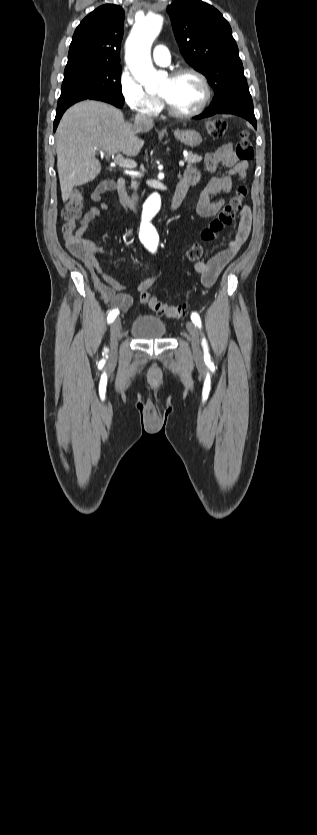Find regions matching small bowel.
I'll use <instances>...</instances> for the list:
<instances>
[{"label":"small bowel","mask_w":317,"mask_h":835,"mask_svg":"<svg viewBox=\"0 0 317 835\" xmlns=\"http://www.w3.org/2000/svg\"><path fill=\"white\" fill-rule=\"evenodd\" d=\"M219 164L226 167L227 172L224 175L212 177L201 191L196 211L202 217H212L220 211L224 200L214 201L213 198L221 193L229 194L232 192L233 178L243 179L246 176L249 167L248 162L239 159L234 152L232 144L227 143L206 156L202 169L195 167L188 168L181 180V183L186 188L196 186L201 182L204 172H214ZM108 192L111 191L107 189V181L100 183L94 189L91 198L94 202H99V206H92L84 214L80 222L81 227L76 232L77 236H81L87 227L98 219L101 210H109V205L102 201ZM251 224V212L249 208L244 207L241 212L237 232L227 247L208 260L195 263V271L200 274L205 286L209 287L215 282L219 273L244 245L249 236ZM69 248L75 253L70 246ZM99 252V249H95L88 255L81 256L75 254L89 271L94 287L102 300L114 309L126 312L133 304L132 296L126 292L128 285L103 270L96 258V254ZM161 274L162 271L159 270L154 276L142 280L137 285V291L143 292L148 290L154 285Z\"/></svg>","instance_id":"obj_1"}]
</instances>
